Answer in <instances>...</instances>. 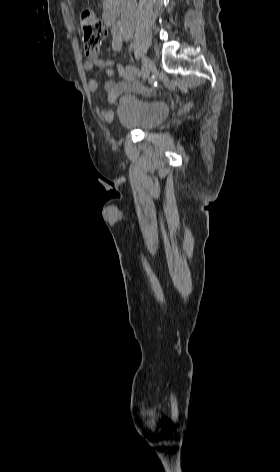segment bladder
I'll list each match as a JSON object with an SVG mask.
<instances>
[{"mask_svg": "<svg viewBox=\"0 0 280 472\" xmlns=\"http://www.w3.org/2000/svg\"><path fill=\"white\" fill-rule=\"evenodd\" d=\"M169 111L170 106L164 100L127 93L118 101L116 117L123 129L148 130L159 126Z\"/></svg>", "mask_w": 280, "mask_h": 472, "instance_id": "obj_1", "label": "bladder"}]
</instances>
